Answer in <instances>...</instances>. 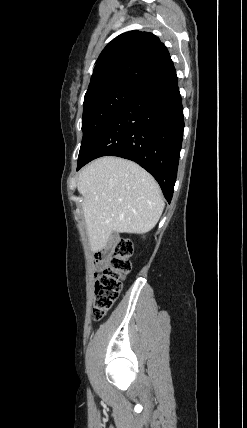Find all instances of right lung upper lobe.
<instances>
[{"instance_id": "1", "label": "right lung upper lobe", "mask_w": 247, "mask_h": 428, "mask_svg": "<svg viewBox=\"0 0 247 428\" xmlns=\"http://www.w3.org/2000/svg\"><path fill=\"white\" fill-rule=\"evenodd\" d=\"M174 67L166 46L152 33H123L101 52L85 95L123 86L142 91Z\"/></svg>"}]
</instances>
